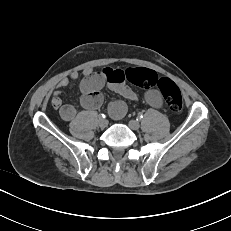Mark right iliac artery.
I'll list each match as a JSON object with an SVG mask.
<instances>
[{"mask_svg": "<svg viewBox=\"0 0 231 231\" xmlns=\"http://www.w3.org/2000/svg\"><path fill=\"white\" fill-rule=\"evenodd\" d=\"M106 116L104 114H101L100 115V118H105Z\"/></svg>", "mask_w": 231, "mask_h": 231, "instance_id": "right-iliac-artery-1", "label": "right iliac artery"}]
</instances>
